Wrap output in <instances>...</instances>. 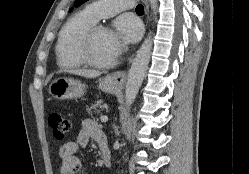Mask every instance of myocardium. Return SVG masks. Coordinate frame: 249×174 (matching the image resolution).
I'll return each instance as SVG.
<instances>
[{
    "label": "myocardium",
    "mask_w": 249,
    "mask_h": 174,
    "mask_svg": "<svg viewBox=\"0 0 249 174\" xmlns=\"http://www.w3.org/2000/svg\"><path fill=\"white\" fill-rule=\"evenodd\" d=\"M100 30L110 31V29L104 25H93L86 31L80 45V55L85 64L94 68L105 69L114 66L116 59L111 62H99L93 58L91 54L92 41L96 32Z\"/></svg>",
    "instance_id": "obj_1"
}]
</instances>
